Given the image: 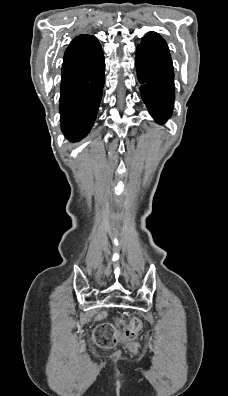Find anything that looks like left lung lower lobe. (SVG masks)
<instances>
[{
	"mask_svg": "<svg viewBox=\"0 0 228 396\" xmlns=\"http://www.w3.org/2000/svg\"><path fill=\"white\" fill-rule=\"evenodd\" d=\"M136 69L143 101L151 116L164 123L174 107L173 64L165 40L155 32L142 38L136 49Z\"/></svg>",
	"mask_w": 228,
	"mask_h": 396,
	"instance_id": "0a47b994",
	"label": "left lung lower lobe"
}]
</instances>
